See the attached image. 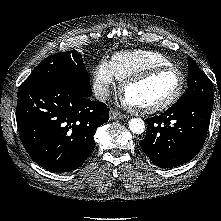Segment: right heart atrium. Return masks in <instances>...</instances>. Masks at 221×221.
<instances>
[{
	"mask_svg": "<svg viewBox=\"0 0 221 221\" xmlns=\"http://www.w3.org/2000/svg\"><path fill=\"white\" fill-rule=\"evenodd\" d=\"M115 84V76L110 63L106 60L100 61L93 70V89L96 97L105 100L111 93Z\"/></svg>",
	"mask_w": 221,
	"mask_h": 221,
	"instance_id": "right-heart-atrium-1",
	"label": "right heart atrium"
}]
</instances>
